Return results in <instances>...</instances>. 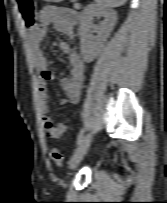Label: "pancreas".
Here are the masks:
<instances>
[{
  "label": "pancreas",
  "mask_w": 167,
  "mask_h": 203,
  "mask_svg": "<svg viewBox=\"0 0 167 203\" xmlns=\"http://www.w3.org/2000/svg\"><path fill=\"white\" fill-rule=\"evenodd\" d=\"M71 2H76V0H71ZM74 7L79 9L80 6H79V4H75Z\"/></svg>",
  "instance_id": "pancreas-1"
}]
</instances>
